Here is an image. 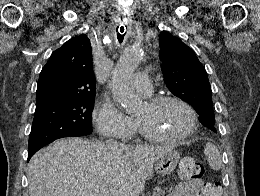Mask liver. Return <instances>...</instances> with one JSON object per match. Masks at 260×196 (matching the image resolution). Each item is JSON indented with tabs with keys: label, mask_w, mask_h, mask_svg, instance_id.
Returning <instances> with one entry per match:
<instances>
[{
	"label": "liver",
	"mask_w": 260,
	"mask_h": 196,
	"mask_svg": "<svg viewBox=\"0 0 260 196\" xmlns=\"http://www.w3.org/2000/svg\"><path fill=\"white\" fill-rule=\"evenodd\" d=\"M176 146H124L61 138L28 164L29 196H140L158 158Z\"/></svg>",
	"instance_id": "liver-1"
}]
</instances>
